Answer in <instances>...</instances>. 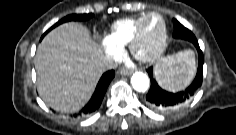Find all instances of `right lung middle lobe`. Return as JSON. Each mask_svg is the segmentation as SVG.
<instances>
[{"label": "right lung middle lobe", "instance_id": "dd1d6c3e", "mask_svg": "<svg viewBox=\"0 0 236 135\" xmlns=\"http://www.w3.org/2000/svg\"><path fill=\"white\" fill-rule=\"evenodd\" d=\"M93 16L92 13L89 14H72V15H68L66 17H64L63 19H61L60 21H58L55 25H53L49 30H51L52 28L56 27L57 25L67 22V21H71V20H80V21H84V20H88ZM48 30V31H49ZM47 31V32H48Z\"/></svg>", "mask_w": 236, "mask_h": 135}]
</instances>
